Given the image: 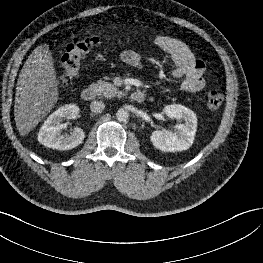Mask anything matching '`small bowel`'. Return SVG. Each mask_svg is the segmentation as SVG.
Wrapping results in <instances>:
<instances>
[{
    "mask_svg": "<svg viewBox=\"0 0 263 263\" xmlns=\"http://www.w3.org/2000/svg\"><path fill=\"white\" fill-rule=\"evenodd\" d=\"M154 44L168 53L175 64V68L169 73L174 79L182 78V88L187 92H199L205 86L203 73L204 62L197 59L186 43L178 38L158 35L153 40ZM121 60L133 67L142 66L141 55L133 50H125L121 53Z\"/></svg>",
    "mask_w": 263,
    "mask_h": 263,
    "instance_id": "c3829d8e",
    "label": "small bowel"
}]
</instances>
